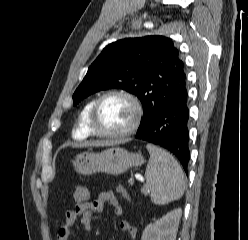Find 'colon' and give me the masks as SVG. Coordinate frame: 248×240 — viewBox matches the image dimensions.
Returning a JSON list of instances; mask_svg holds the SVG:
<instances>
[{"label": "colon", "mask_w": 248, "mask_h": 240, "mask_svg": "<svg viewBox=\"0 0 248 240\" xmlns=\"http://www.w3.org/2000/svg\"><path fill=\"white\" fill-rule=\"evenodd\" d=\"M117 191L123 197L129 199V195L124 187L120 185L117 186ZM89 194H90L89 189L86 186H79L74 193V201L76 205L86 203L89 199Z\"/></svg>", "instance_id": "5ec220e1"}]
</instances>
